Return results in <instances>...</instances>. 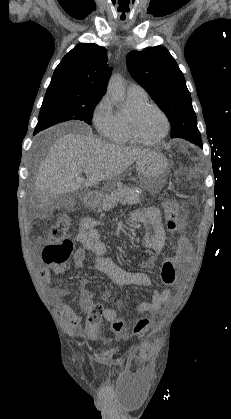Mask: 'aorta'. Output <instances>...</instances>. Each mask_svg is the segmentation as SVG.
Instances as JSON below:
<instances>
[{"mask_svg": "<svg viewBox=\"0 0 231 419\" xmlns=\"http://www.w3.org/2000/svg\"><path fill=\"white\" fill-rule=\"evenodd\" d=\"M107 92L115 101H121L124 98V86L119 76L110 79Z\"/></svg>", "mask_w": 231, "mask_h": 419, "instance_id": "1", "label": "aorta"}]
</instances>
